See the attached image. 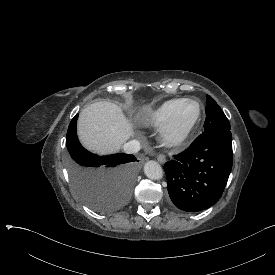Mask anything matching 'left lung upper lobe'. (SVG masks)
I'll use <instances>...</instances> for the list:
<instances>
[{
	"instance_id": "obj_1",
	"label": "left lung upper lobe",
	"mask_w": 275,
	"mask_h": 275,
	"mask_svg": "<svg viewBox=\"0 0 275 275\" xmlns=\"http://www.w3.org/2000/svg\"><path fill=\"white\" fill-rule=\"evenodd\" d=\"M206 99L207 106L205 107L206 119L204 123V132H209L220 128L230 129V123L227 117L215 102V100L209 95H206Z\"/></svg>"
}]
</instances>
